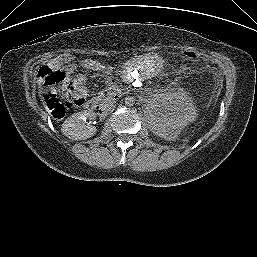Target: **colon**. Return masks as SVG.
Wrapping results in <instances>:
<instances>
[{
	"mask_svg": "<svg viewBox=\"0 0 257 257\" xmlns=\"http://www.w3.org/2000/svg\"><path fill=\"white\" fill-rule=\"evenodd\" d=\"M183 56L192 62L201 59V54L194 50L183 51ZM38 79L45 87L44 101L52 117L61 119L67 111L76 109L84 103L86 90L83 86V78H78L76 81L70 83L69 88L61 96H58L50 88L65 79L63 71L45 65L39 69Z\"/></svg>",
	"mask_w": 257,
	"mask_h": 257,
	"instance_id": "1",
	"label": "colon"
}]
</instances>
